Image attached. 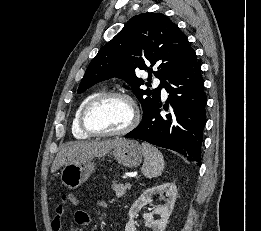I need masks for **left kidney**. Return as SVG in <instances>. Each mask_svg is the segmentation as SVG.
<instances>
[{
	"instance_id": "left-kidney-1",
	"label": "left kidney",
	"mask_w": 261,
	"mask_h": 231,
	"mask_svg": "<svg viewBox=\"0 0 261 231\" xmlns=\"http://www.w3.org/2000/svg\"><path fill=\"white\" fill-rule=\"evenodd\" d=\"M163 193L167 196L166 203L154 207L152 213L144 214L143 217L145 226L151 228L153 231H164L173 211L177 196V187L174 183H163L145 190L129 210V221L126 224L125 231H136L134 218L138 216L142 206L151 204L153 195ZM153 214H159L161 220H155Z\"/></svg>"
}]
</instances>
